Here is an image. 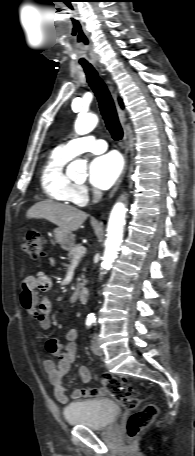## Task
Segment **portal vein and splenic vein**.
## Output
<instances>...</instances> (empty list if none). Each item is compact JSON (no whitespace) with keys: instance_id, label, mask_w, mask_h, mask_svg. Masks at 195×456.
Instances as JSON below:
<instances>
[{"instance_id":"portal-vein-and-splenic-vein-1","label":"portal vein and splenic vein","mask_w":195,"mask_h":456,"mask_svg":"<svg viewBox=\"0 0 195 456\" xmlns=\"http://www.w3.org/2000/svg\"><path fill=\"white\" fill-rule=\"evenodd\" d=\"M77 252H78V256H81V255H83V254L86 252V248L83 247V246H80V247L77 249Z\"/></svg>"}]
</instances>
